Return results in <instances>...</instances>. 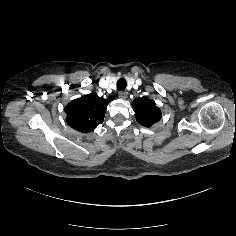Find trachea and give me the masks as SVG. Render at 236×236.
I'll return each mask as SVG.
<instances>
[{
	"label": "trachea",
	"instance_id": "obj_1",
	"mask_svg": "<svg viewBox=\"0 0 236 236\" xmlns=\"http://www.w3.org/2000/svg\"><path fill=\"white\" fill-rule=\"evenodd\" d=\"M127 86L126 80L124 78H120L117 82V89L124 90Z\"/></svg>",
	"mask_w": 236,
	"mask_h": 236
}]
</instances>
